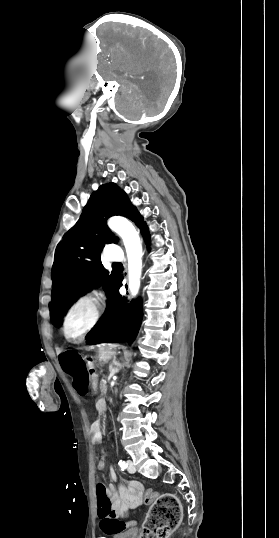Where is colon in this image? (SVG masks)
Masks as SVG:
<instances>
[{
    "label": "colon",
    "instance_id": "obj_1",
    "mask_svg": "<svg viewBox=\"0 0 279 538\" xmlns=\"http://www.w3.org/2000/svg\"><path fill=\"white\" fill-rule=\"evenodd\" d=\"M96 498L99 516H111L112 503L108 489L102 483L96 485ZM146 501L152 503V506L144 523L142 538H168L181 520L182 507L179 499L171 493L158 496L150 490Z\"/></svg>",
    "mask_w": 279,
    "mask_h": 538
}]
</instances>
